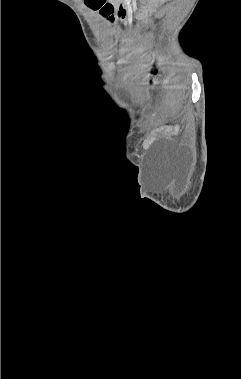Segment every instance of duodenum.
<instances>
[{"label":"duodenum","instance_id":"obj_1","mask_svg":"<svg viewBox=\"0 0 241 379\" xmlns=\"http://www.w3.org/2000/svg\"><path fill=\"white\" fill-rule=\"evenodd\" d=\"M111 5V4H110ZM112 6V5H111ZM113 8V6H112ZM126 9H127V5H126V2L123 0L122 2L119 3V5L117 6V14L118 16L120 17H124L126 15ZM114 10V8H113Z\"/></svg>","mask_w":241,"mask_h":379}]
</instances>
